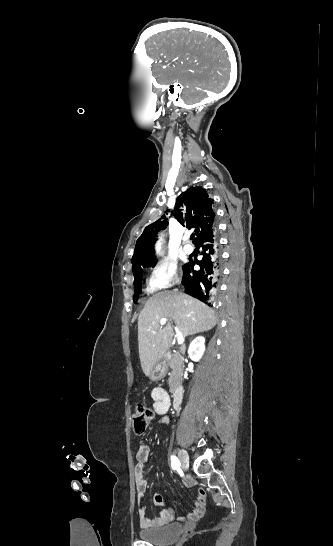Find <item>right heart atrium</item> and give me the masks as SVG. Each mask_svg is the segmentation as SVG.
Segmentation results:
<instances>
[{"mask_svg": "<svg viewBox=\"0 0 333 546\" xmlns=\"http://www.w3.org/2000/svg\"><path fill=\"white\" fill-rule=\"evenodd\" d=\"M179 282L178 267L169 260H163L154 266L147 278L146 288L150 293L169 289Z\"/></svg>", "mask_w": 333, "mask_h": 546, "instance_id": "1", "label": "right heart atrium"}]
</instances>
